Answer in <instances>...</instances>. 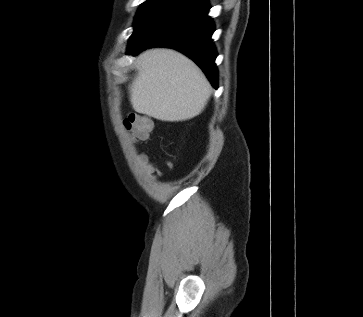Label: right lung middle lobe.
Here are the masks:
<instances>
[{"mask_svg":"<svg viewBox=\"0 0 363 317\" xmlns=\"http://www.w3.org/2000/svg\"><path fill=\"white\" fill-rule=\"evenodd\" d=\"M182 2L184 0H147L144 2L136 16L134 32L129 42L136 40L155 20Z\"/></svg>","mask_w":363,"mask_h":317,"instance_id":"obj_1","label":"right lung middle lobe"}]
</instances>
